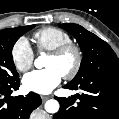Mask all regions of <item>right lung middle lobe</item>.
<instances>
[{"mask_svg":"<svg viewBox=\"0 0 119 119\" xmlns=\"http://www.w3.org/2000/svg\"><path fill=\"white\" fill-rule=\"evenodd\" d=\"M34 27L28 25L0 31V81H12L19 77L12 58V48L24 33Z\"/></svg>","mask_w":119,"mask_h":119,"instance_id":"1","label":"right lung middle lobe"}]
</instances>
